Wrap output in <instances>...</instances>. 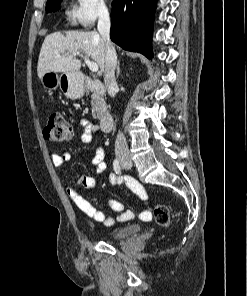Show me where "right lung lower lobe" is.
Segmentation results:
<instances>
[{
  "label": "right lung lower lobe",
  "mask_w": 247,
  "mask_h": 296,
  "mask_svg": "<svg viewBox=\"0 0 247 296\" xmlns=\"http://www.w3.org/2000/svg\"><path fill=\"white\" fill-rule=\"evenodd\" d=\"M110 37L125 50L153 58L152 32L157 0H115Z\"/></svg>",
  "instance_id": "1"
}]
</instances>
